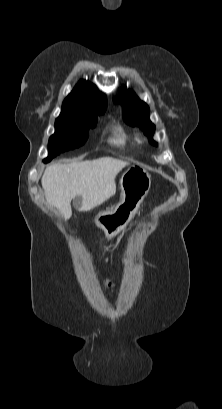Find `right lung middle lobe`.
<instances>
[{"mask_svg": "<svg viewBox=\"0 0 222 409\" xmlns=\"http://www.w3.org/2000/svg\"><path fill=\"white\" fill-rule=\"evenodd\" d=\"M96 123L97 112L94 110L61 113L55 121V134L49 138L48 157L43 162L47 163L61 152L83 145L89 136L88 130L94 128Z\"/></svg>", "mask_w": 222, "mask_h": 409, "instance_id": "obj_1", "label": "right lung middle lobe"}]
</instances>
